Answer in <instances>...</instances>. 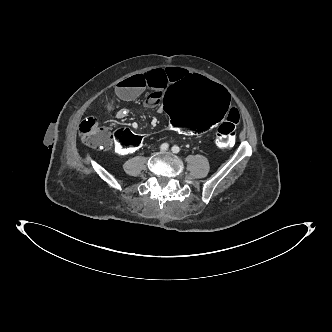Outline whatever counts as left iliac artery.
I'll return each mask as SVG.
<instances>
[{"instance_id": "obj_1", "label": "left iliac artery", "mask_w": 332, "mask_h": 332, "mask_svg": "<svg viewBox=\"0 0 332 332\" xmlns=\"http://www.w3.org/2000/svg\"><path fill=\"white\" fill-rule=\"evenodd\" d=\"M171 150H172L173 153H179L180 152V148L177 145H174Z\"/></svg>"}]
</instances>
